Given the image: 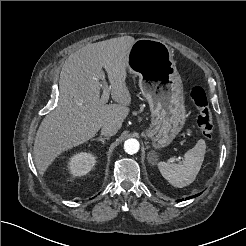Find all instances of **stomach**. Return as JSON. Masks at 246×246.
Segmentation results:
<instances>
[{
	"label": "stomach",
	"mask_w": 246,
	"mask_h": 246,
	"mask_svg": "<svg viewBox=\"0 0 246 246\" xmlns=\"http://www.w3.org/2000/svg\"><path fill=\"white\" fill-rule=\"evenodd\" d=\"M127 68L139 77L141 93L149 103L151 123L145 135L155 149L168 146L186 121L183 84L173 51L160 40L137 39L130 48Z\"/></svg>",
	"instance_id": "1"
}]
</instances>
